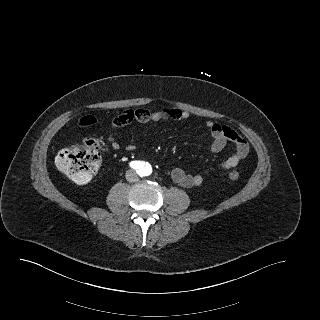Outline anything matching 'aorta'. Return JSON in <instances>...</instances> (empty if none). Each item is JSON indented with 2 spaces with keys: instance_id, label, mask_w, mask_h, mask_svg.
<instances>
[{
  "instance_id": "aorta-1",
  "label": "aorta",
  "mask_w": 320,
  "mask_h": 320,
  "mask_svg": "<svg viewBox=\"0 0 320 320\" xmlns=\"http://www.w3.org/2000/svg\"><path fill=\"white\" fill-rule=\"evenodd\" d=\"M150 174V171L149 172H147V175H149Z\"/></svg>"
}]
</instances>
